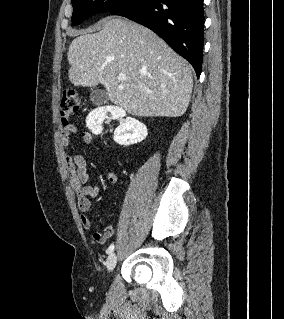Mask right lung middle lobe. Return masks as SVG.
Returning <instances> with one entry per match:
<instances>
[{"label":"right lung middle lobe","mask_w":284,"mask_h":319,"mask_svg":"<svg viewBox=\"0 0 284 319\" xmlns=\"http://www.w3.org/2000/svg\"><path fill=\"white\" fill-rule=\"evenodd\" d=\"M73 5L72 22L74 25L82 23L92 15L111 11L127 4L131 0H71Z\"/></svg>","instance_id":"dd1d6c3e"}]
</instances>
